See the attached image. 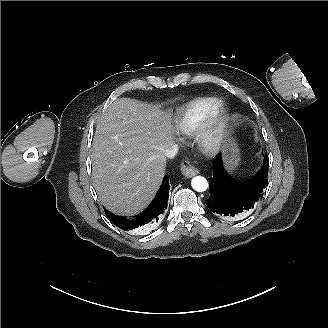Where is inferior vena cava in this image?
Segmentation results:
<instances>
[{
    "label": "inferior vena cava",
    "instance_id": "inferior-vena-cava-1",
    "mask_svg": "<svg viewBox=\"0 0 328 328\" xmlns=\"http://www.w3.org/2000/svg\"><path fill=\"white\" fill-rule=\"evenodd\" d=\"M179 153V147L176 144H171L168 148H166L164 155L168 159H174Z\"/></svg>",
    "mask_w": 328,
    "mask_h": 328
}]
</instances>
